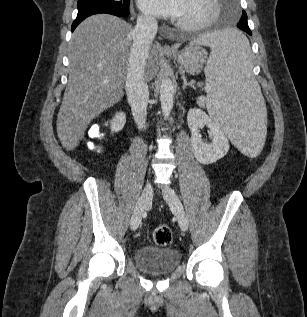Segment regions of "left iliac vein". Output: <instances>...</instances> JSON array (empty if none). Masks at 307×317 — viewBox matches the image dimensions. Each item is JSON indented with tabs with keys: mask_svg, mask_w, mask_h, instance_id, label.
Listing matches in <instances>:
<instances>
[{
	"mask_svg": "<svg viewBox=\"0 0 307 317\" xmlns=\"http://www.w3.org/2000/svg\"><path fill=\"white\" fill-rule=\"evenodd\" d=\"M163 196L172 211L175 213L180 228L183 231H186L188 229V218L178 195L173 189L167 187L163 191Z\"/></svg>",
	"mask_w": 307,
	"mask_h": 317,
	"instance_id": "left-iliac-vein-1",
	"label": "left iliac vein"
}]
</instances>
